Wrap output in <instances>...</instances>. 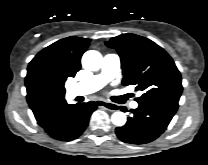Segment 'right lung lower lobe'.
I'll return each instance as SVG.
<instances>
[{
  "label": "right lung lower lobe",
  "instance_id": "98d812e1",
  "mask_svg": "<svg viewBox=\"0 0 208 165\" xmlns=\"http://www.w3.org/2000/svg\"><path fill=\"white\" fill-rule=\"evenodd\" d=\"M95 102L68 104L66 100L54 105L36 117L38 124L54 139L70 141L86 129Z\"/></svg>",
  "mask_w": 208,
  "mask_h": 165
}]
</instances>
